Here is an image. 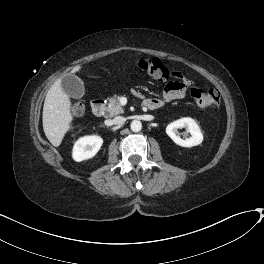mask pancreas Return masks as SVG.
<instances>
[{"label": "pancreas", "mask_w": 264, "mask_h": 264, "mask_svg": "<svg viewBox=\"0 0 264 264\" xmlns=\"http://www.w3.org/2000/svg\"><path fill=\"white\" fill-rule=\"evenodd\" d=\"M120 96L114 95L108 100L106 111L110 117L119 115L124 112L123 108L120 105Z\"/></svg>", "instance_id": "cf45deb5"}]
</instances>
